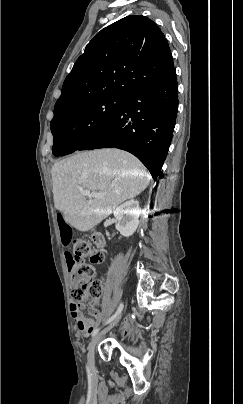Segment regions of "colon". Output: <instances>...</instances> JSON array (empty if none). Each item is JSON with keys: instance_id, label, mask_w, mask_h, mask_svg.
Returning a JSON list of instances; mask_svg holds the SVG:
<instances>
[{"instance_id": "colon-1", "label": "colon", "mask_w": 243, "mask_h": 404, "mask_svg": "<svg viewBox=\"0 0 243 404\" xmlns=\"http://www.w3.org/2000/svg\"><path fill=\"white\" fill-rule=\"evenodd\" d=\"M104 261V254L94 249L84 239L74 243V255L72 259L73 279L77 286L72 291V299L78 302L82 299H90L96 302L101 296V282L94 278L95 266Z\"/></svg>"}]
</instances>
